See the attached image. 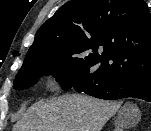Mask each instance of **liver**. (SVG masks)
Returning a JSON list of instances; mask_svg holds the SVG:
<instances>
[{"label": "liver", "instance_id": "6515ba94", "mask_svg": "<svg viewBox=\"0 0 151 131\" xmlns=\"http://www.w3.org/2000/svg\"><path fill=\"white\" fill-rule=\"evenodd\" d=\"M119 104L73 94L34 103L12 131H101Z\"/></svg>", "mask_w": 151, "mask_h": 131}]
</instances>
